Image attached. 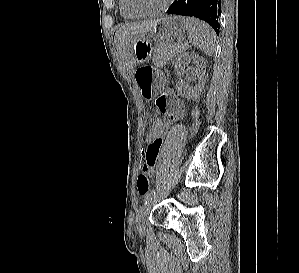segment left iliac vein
<instances>
[{
	"label": "left iliac vein",
	"instance_id": "1",
	"mask_svg": "<svg viewBox=\"0 0 299 273\" xmlns=\"http://www.w3.org/2000/svg\"><path fill=\"white\" fill-rule=\"evenodd\" d=\"M156 200V197L152 199L150 202L144 205L137 214L136 227L141 234H143L145 231V218L151 210L152 206L155 204Z\"/></svg>",
	"mask_w": 299,
	"mask_h": 273
}]
</instances>
